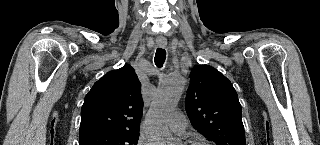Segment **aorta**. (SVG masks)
Returning <instances> with one entry per match:
<instances>
[{
	"label": "aorta",
	"instance_id": "aorta-1",
	"mask_svg": "<svg viewBox=\"0 0 320 145\" xmlns=\"http://www.w3.org/2000/svg\"><path fill=\"white\" fill-rule=\"evenodd\" d=\"M184 84L181 76H169L162 81L145 120V133L152 145H174L167 119L177 106Z\"/></svg>",
	"mask_w": 320,
	"mask_h": 145
}]
</instances>
